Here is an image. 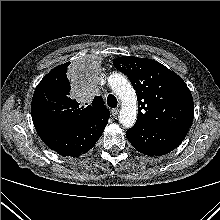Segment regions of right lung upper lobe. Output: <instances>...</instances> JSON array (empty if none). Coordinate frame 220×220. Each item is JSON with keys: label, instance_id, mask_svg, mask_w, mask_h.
<instances>
[{"label": "right lung upper lobe", "instance_id": "cb5924a9", "mask_svg": "<svg viewBox=\"0 0 220 220\" xmlns=\"http://www.w3.org/2000/svg\"><path fill=\"white\" fill-rule=\"evenodd\" d=\"M66 62L51 70L35 89L31 115L36 130L70 128L83 124L99 114H110L102 97L94 98L91 105L81 107L70 96L69 64Z\"/></svg>", "mask_w": 220, "mask_h": 220}]
</instances>
